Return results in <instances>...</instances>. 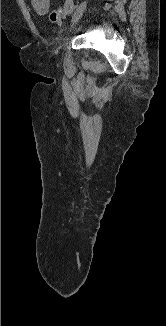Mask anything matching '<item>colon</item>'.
<instances>
[{
  "mask_svg": "<svg viewBox=\"0 0 166 326\" xmlns=\"http://www.w3.org/2000/svg\"><path fill=\"white\" fill-rule=\"evenodd\" d=\"M67 7L63 6L58 8L57 10H54L53 12L50 13V20L52 22H57L61 19V17L64 15L66 12Z\"/></svg>",
  "mask_w": 166,
  "mask_h": 326,
  "instance_id": "1",
  "label": "colon"
}]
</instances>
